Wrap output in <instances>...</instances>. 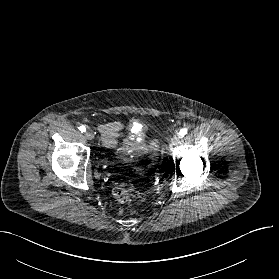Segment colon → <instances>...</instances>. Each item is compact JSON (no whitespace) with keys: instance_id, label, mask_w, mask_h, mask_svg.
Instances as JSON below:
<instances>
[{"instance_id":"obj_1","label":"colon","mask_w":279,"mask_h":279,"mask_svg":"<svg viewBox=\"0 0 279 279\" xmlns=\"http://www.w3.org/2000/svg\"><path fill=\"white\" fill-rule=\"evenodd\" d=\"M149 150L151 153L150 160L151 164L154 165L158 158L157 152L159 151V143L157 140H153L149 145ZM140 195V192L137 188L131 185H118L113 189V196L119 202H128L132 199L137 198Z\"/></svg>"}]
</instances>
